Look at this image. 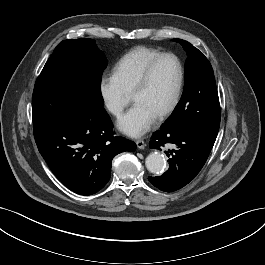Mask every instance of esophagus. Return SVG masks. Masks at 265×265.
<instances>
[{
  "label": "esophagus",
  "instance_id": "obj_1",
  "mask_svg": "<svg viewBox=\"0 0 265 265\" xmlns=\"http://www.w3.org/2000/svg\"><path fill=\"white\" fill-rule=\"evenodd\" d=\"M136 145H137V147H138L139 149H144L145 146H146V144H145V142H144L143 140H137V141H136Z\"/></svg>",
  "mask_w": 265,
  "mask_h": 265
}]
</instances>
